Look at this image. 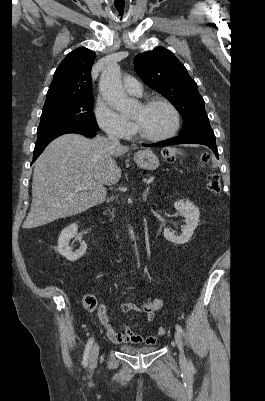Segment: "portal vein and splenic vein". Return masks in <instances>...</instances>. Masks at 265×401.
Here are the masks:
<instances>
[{"label": "portal vein and splenic vein", "instance_id": "obj_1", "mask_svg": "<svg viewBox=\"0 0 265 401\" xmlns=\"http://www.w3.org/2000/svg\"><path fill=\"white\" fill-rule=\"evenodd\" d=\"M159 180L158 175H154L151 178H148V180H146V184H150V182ZM75 186V190H88V186H82V184H74Z\"/></svg>", "mask_w": 265, "mask_h": 401}]
</instances>
